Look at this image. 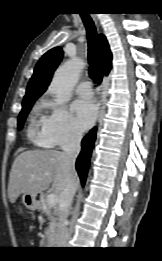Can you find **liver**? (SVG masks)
Masks as SVG:
<instances>
[{
    "label": "liver",
    "mask_w": 162,
    "mask_h": 261,
    "mask_svg": "<svg viewBox=\"0 0 162 261\" xmlns=\"http://www.w3.org/2000/svg\"><path fill=\"white\" fill-rule=\"evenodd\" d=\"M70 182L77 187L78 176L75 169L67 165L63 152L24 151L13 162L9 176L8 198L11 203H14L20 194L37 196L51 184V191L60 200Z\"/></svg>",
    "instance_id": "liver-1"
}]
</instances>
